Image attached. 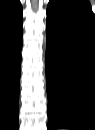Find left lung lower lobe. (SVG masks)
Listing matches in <instances>:
<instances>
[{
	"instance_id": "obj_1",
	"label": "left lung lower lobe",
	"mask_w": 95,
	"mask_h": 130,
	"mask_svg": "<svg viewBox=\"0 0 95 130\" xmlns=\"http://www.w3.org/2000/svg\"><path fill=\"white\" fill-rule=\"evenodd\" d=\"M48 119L53 128H95V21L51 14L46 21Z\"/></svg>"
}]
</instances>
